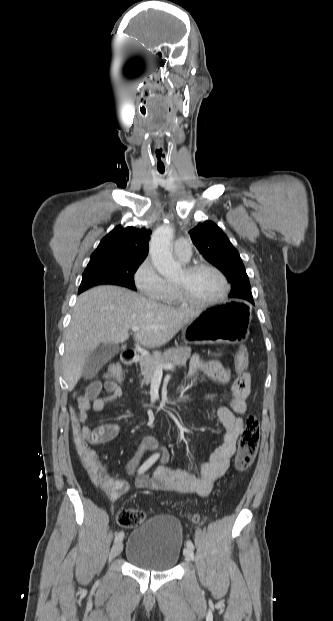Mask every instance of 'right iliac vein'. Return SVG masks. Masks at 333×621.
Masks as SVG:
<instances>
[{
    "instance_id": "obj_1",
    "label": "right iliac vein",
    "mask_w": 333,
    "mask_h": 621,
    "mask_svg": "<svg viewBox=\"0 0 333 621\" xmlns=\"http://www.w3.org/2000/svg\"><path fill=\"white\" fill-rule=\"evenodd\" d=\"M122 550H123L122 541L116 542L111 548L109 559L112 560L113 558L117 557L122 552Z\"/></svg>"
}]
</instances>
